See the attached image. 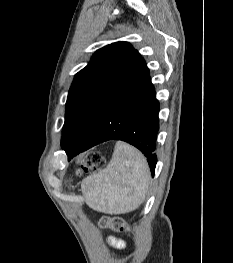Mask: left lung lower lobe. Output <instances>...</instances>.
Wrapping results in <instances>:
<instances>
[{
  "mask_svg": "<svg viewBox=\"0 0 233 263\" xmlns=\"http://www.w3.org/2000/svg\"><path fill=\"white\" fill-rule=\"evenodd\" d=\"M159 102L146 63L142 61L107 105L84 144L65 145L68 155L75 156L99 143L114 139L137 147L146 157L152 176L157 157L156 139Z\"/></svg>",
  "mask_w": 233,
  "mask_h": 263,
  "instance_id": "0a47b994",
  "label": "left lung lower lobe"
}]
</instances>
